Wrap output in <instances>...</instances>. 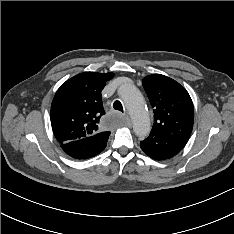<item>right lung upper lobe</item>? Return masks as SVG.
<instances>
[{
	"label": "right lung upper lobe",
	"mask_w": 234,
	"mask_h": 234,
	"mask_svg": "<svg viewBox=\"0 0 234 234\" xmlns=\"http://www.w3.org/2000/svg\"><path fill=\"white\" fill-rule=\"evenodd\" d=\"M113 76V73L83 72L60 86L50 112L52 129L60 144L110 135L100 125V118L105 114L101 91Z\"/></svg>",
	"instance_id": "right-lung-upper-lobe-1"
}]
</instances>
